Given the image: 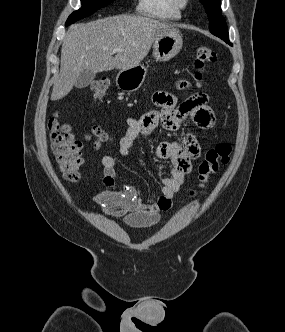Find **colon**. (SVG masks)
<instances>
[{
  "label": "colon",
  "mask_w": 285,
  "mask_h": 332,
  "mask_svg": "<svg viewBox=\"0 0 285 332\" xmlns=\"http://www.w3.org/2000/svg\"><path fill=\"white\" fill-rule=\"evenodd\" d=\"M217 59L216 52L206 46L198 45L196 48L194 65L196 68L195 80L200 83L203 79L204 70ZM108 81L99 79L93 81L89 90L96 100H101L107 92ZM171 123V122H169ZM50 131L51 150L55 158L58 170L70 182H76L81 175L82 166V142L75 138L71 133L69 125L61 123L57 115H54L48 123ZM89 138L95 140L97 146L106 141V134L101 128L95 126L92 128ZM231 147L228 144H219L209 149L204 159L198 166L199 187L203 188L211 176H213L220 167L229 162ZM192 194H196L193 192Z\"/></svg>",
  "instance_id": "5ec220e1"
}]
</instances>
